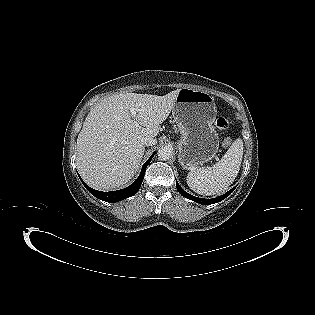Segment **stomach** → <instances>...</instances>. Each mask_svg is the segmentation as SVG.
<instances>
[{
	"mask_svg": "<svg viewBox=\"0 0 315 315\" xmlns=\"http://www.w3.org/2000/svg\"><path fill=\"white\" fill-rule=\"evenodd\" d=\"M172 114L181 134L177 145L180 165L192 170L212 160L219 149L214 97L202 90L182 88Z\"/></svg>",
	"mask_w": 315,
	"mask_h": 315,
	"instance_id": "obj_1",
	"label": "stomach"
}]
</instances>
